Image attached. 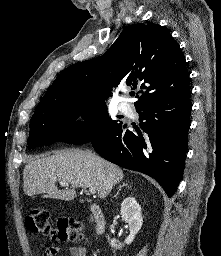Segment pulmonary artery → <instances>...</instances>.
<instances>
[{
	"instance_id": "1",
	"label": "pulmonary artery",
	"mask_w": 221,
	"mask_h": 256,
	"mask_svg": "<svg viewBox=\"0 0 221 256\" xmlns=\"http://www.w3.org/2000/svg\"><path fill=\"white\" fill-rule=\"evenodd\" d=\"M119 109L121 112H123L126 115H131L133 113L132 106L126 102L120 103Z\"/></svg>"
}]
</instances>
